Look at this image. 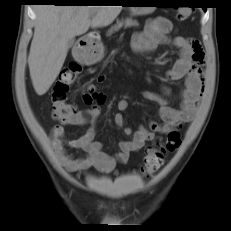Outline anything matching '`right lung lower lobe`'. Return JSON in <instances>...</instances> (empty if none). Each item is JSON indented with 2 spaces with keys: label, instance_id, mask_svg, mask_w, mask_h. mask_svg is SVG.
I'll list each match as a JSON object with an SVG mask.
<instances>
[{
  "label": "right lung lower lobe",
  "instance_id": "right-lung-lower-lobe-1",
  "mask_svg": "<svg viewBox=\"0 0 231 231\" xmlns=\"http://www.w3.org/2000/svg\"><path fill=\"white\" fill-rule=\"evenodd\" d=\"M34 3H54L55 5H74L71 0H31Z\"/></svg>",
  "mask_w": 231,
  "mask_h": 231
}]
</instances>
